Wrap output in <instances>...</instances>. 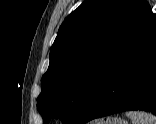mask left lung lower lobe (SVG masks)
<instances>
[{"mask_svg": "<svg viewBox=\"0 0 156 124\" xmlns=\"http://www.w3.org/2000/svg\"><path fill=\"white\" fill-rule=\"evenodd\" d=\"M128 110L156 115V20L116 61L79 122Z\"/></svg>", "mask_w": 156, "mask_h": 124, "instance_id": "0a47b994", "label": "left lung lower lobe"}]
</instances>
